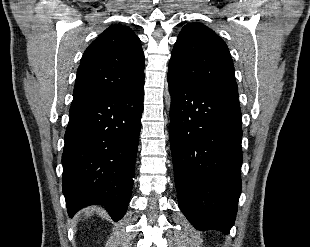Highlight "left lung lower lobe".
<instances>
[{"label": "left lung lower lobe", "mask_w": 310, "mask_h": 247, "mask_svg": "<svg viewBox=\"0 0 310 247\" xmlns=\"http://www.w3.org/2000/svg\"><path fill=\"white\" fill-rule=\"evenodd\" d=\"M170 145L179 207L198 230L228 234L241 192L238 97L167 75Z\"/></svg>", "instance_id": "0a47b994"}]
</instances>
